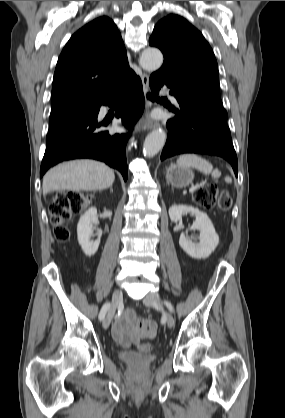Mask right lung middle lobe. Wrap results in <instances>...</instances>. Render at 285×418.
Wrapping results in <instances>:
<instances>
[{"label":"right lung middle lobe","mask_w":285,"mask_h":418,"mask_svg":"<svg viewBox=\"0 0 285 418\" xmlns=\"http://www.w3.org/2000/svg\"><path fill=\"white\" fill-rule=\"evenodd\" d=\"M93 104H71L51 108L49 126H56L71 118L91 114Z\"/></svg>","instance_id":"dd1d6c3e"}]
</instances>
